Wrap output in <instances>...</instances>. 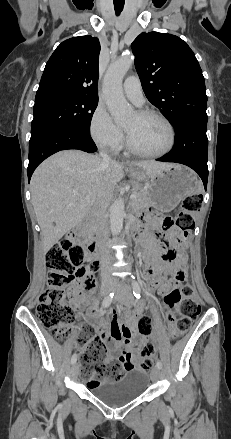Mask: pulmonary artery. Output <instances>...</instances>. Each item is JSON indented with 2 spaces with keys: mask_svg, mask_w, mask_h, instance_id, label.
Masks as SVG:
<instances>
[{
  "mask_svg": "<svg viewBox=\"0 0 231 439\" xmlns=\"http://www.w3.org/2000/svg\"><path fill=\"white\" fill-rule=\"evenodd\" d=\"M125 95L137 106L144 103V95L137 76H129L123 82Z\"/></svg>",
  "mask_w": 231,
  "mask_h": 439,
  "instance_id": "pulmonary-artery-1",
  "label": "pulmonary artery"
}]
</instances>
